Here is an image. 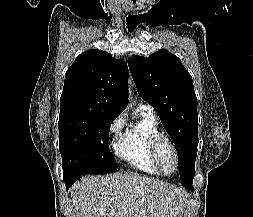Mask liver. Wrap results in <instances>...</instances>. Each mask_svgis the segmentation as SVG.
<instances>
[{"instance_id":"1","label":"liver","mask_w":253,"mask_h":217,"mask_svg":"<svg viewBox=\"0 0 253 217\" xmlns=\"http://www.w3.org/2000/svg\"><path fill=\"white\" fill-rule=\"evenodd\" d=\"M74 217H183L185 193L138 174L88 176L70 189Z\"/></svg>"}]
</instances>
